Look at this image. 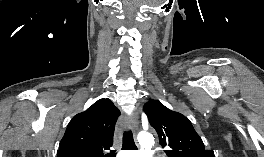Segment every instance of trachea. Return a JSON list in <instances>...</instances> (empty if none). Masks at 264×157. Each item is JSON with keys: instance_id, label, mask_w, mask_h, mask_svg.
Listing matches in <instances>:
<instances>
[{"instance_id": "1", "label": "trachea", "mask_w": 264, "mask_h": 157, "mask_svg": "<svg viewBox=\"0 0 264 157\" xmlns=\"http://www.w3.org/2000/svg\"><path fill=\"white\" fill-rule=\"evenodd\" d=\"M122 150H137V147H136L134 140H133L132 131H130V130L125 131L123 134Z\"/></svg>"}]
</instances>
